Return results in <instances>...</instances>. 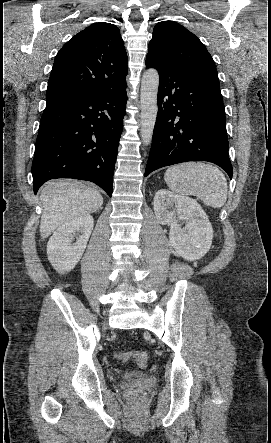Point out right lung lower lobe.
I'll use <instances>...</instances> for the list:
<instances>
[{
  "instance_id": "1",
  "label": "right lung lower lobe",
  "mask_w": 271,
  "mask_h": 443,
  "mask_svg": "<svg viewBox=\"0 0 271 443\" xmlns=\"http://www.w3.org/2000/svg\"><path fill=\"white\" fill-rule=\"evenodd\" d=\"M126 84L46 104L32 164L34 192L50 179L92 181L112 196Z\"/></svg>"
}]
</instances>
